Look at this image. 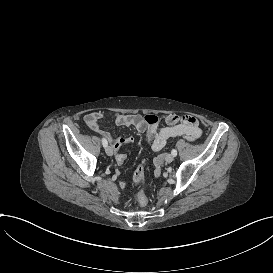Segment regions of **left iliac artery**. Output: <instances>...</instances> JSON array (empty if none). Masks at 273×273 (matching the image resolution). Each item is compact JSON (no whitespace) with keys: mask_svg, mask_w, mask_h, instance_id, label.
<instances>
[{"mask_svg":"<svg viewBox=\"0 0 273 273\" xmlns=\"http://www.w3.org/2000/svg\"><path fill=\"white\" fill-rule=\"evenodd\" d=\"M171 154H172L173 156H176V155H177V151H176L175 149H172Z\"/></svg>","mask_w":273,"mask_h":273,"instance_id":"44dca946","label":"left iliac artery"}]
</instances>
